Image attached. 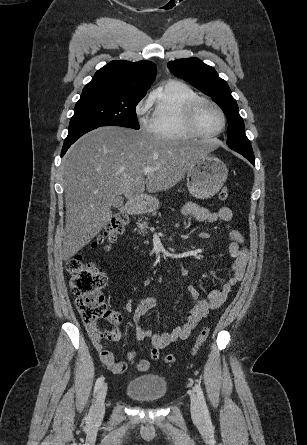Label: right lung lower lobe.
Wrapping results in <instances>:
<instances>
[{"instance_id":"right-lung-lower-lobe-1","label":"right lung lower lobe","mask_w":307,"mask_h":445,"mask_svg":"<svg viewBox=\"0 0 307 445\" xmlns=\"http://www.w3.org/2000/svg\"><path fill=\"white\" fill-rule=\"evenodd\" d=\"M98 127H89V128H85L82 129L80 131H77L75 133L72 134H68L67 138L65 139L62 151H61V157L66 153V151L68 150V148L78 139L80 138L83 134L95 129Z\"/></svg>"}]
</instances>
